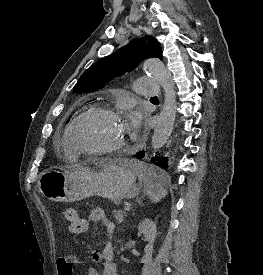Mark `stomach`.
Segmentation results:
<instances>
[{
	"instance_id": "stomach-1",
	"label": "stomach",
	"mask_w": 263,
	"mask_h": 275,
	"mask_svg": "<svg viewBox=\"0 0 263 275\" xmlns=\"http://www.w3.org/2000/svg\"><path fill=\"white\" fill-rule=\"evenodd\" d=\"M38 189L54 202H75L97 195L115 204L137 196L140 191L127 161L108 163L96 171L83 167L46 170L39 177Z\"/></svg>"
}]
</instances>
